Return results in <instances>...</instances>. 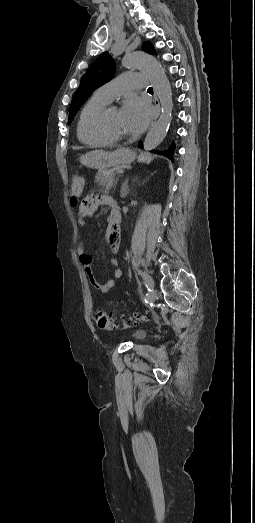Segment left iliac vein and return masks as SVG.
I'll list each match as a JSON object with an SVG mask.
<instances>
[{
	"instance_id": "1",
	"label": "left iliac vein",
	"mask_w": 255,
	"mask_h": 523,
	"mask_svg": "<svg viewBox=\"0 0 255 523\" xmlns=\"http://www.w3.org/2000/svg\"><path fill=\"white\" fill-rule=\"evenodd\" d=\"M145 276H146V279L148 281V284L151 285V286H154V281L152 279V277L145 273ZM157 298V291L155 289H153L150 293H149V296H148V300L150 303H153Z\"/></svg>"
}]
</instances>
